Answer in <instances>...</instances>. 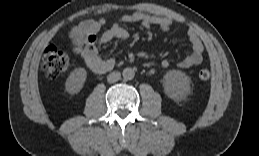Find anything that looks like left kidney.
I'll list each match as a JSON object with an SVG mask.
<instances>
[{
	"label": "left kidney",
	"mask_w": 259,
	"mask_h": 156,
	"mask_svg": "<svg viewBox=\"0 0 259 156\" xmlns=\"http://www.w3.org/2000/svg\"><path fill=\"white\" fill-rule=\"evenodd\" d=\"M165 94L180 101L191 93V79L184 72L179 70L168 71L162 81Z\"/></svg>",
	"instance_id": "left-kidney-1"
}]
</instances>
